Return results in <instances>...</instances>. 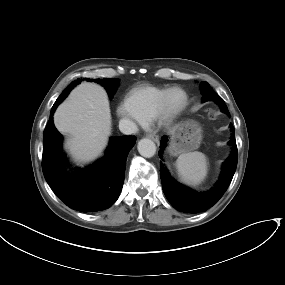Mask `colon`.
Here are the masks:
<instances>
[{
    "label": "colon",
    "mask_w": 285,
    "mask_h": 285,
    "mask_svg": "<svg viewBox=\"0 0 285 285\" xmlns=\"http://www.w3.org/2000/svg\"><path fill=\"white\" fill-rule=\"evenodd\" d=\"M209 116L211 117V118H214L215 117V114H214V112L212 111V110H209Z\"/></svg>",
    "instance_id": "5ec220e1"
}]
</instances>
